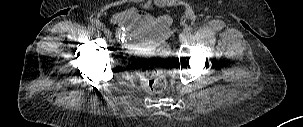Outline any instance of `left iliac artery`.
I'll return each mask as SVG.
<instances>
[{
  "instance_id": "1",
  "label": "left iliac artery",
  "mask_w": 303,
  "mask_h": 127,
  "mask_svg": "<svg viewBox=\"0 0 303 127\" xmlns=\"http://www.w3.org/2000/svg\"><path fill=\"white\" fill-rule=\"evenodd\" d=\"M183 35L185 36V38H186L187 40H191L192 37H193L192 33H191L190 30H188V29L184 30Z\"/></svg>"
}]
</instances>
